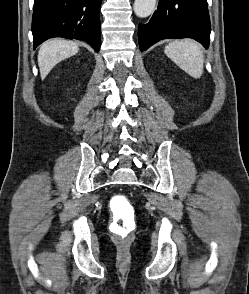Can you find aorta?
I'll use <instances>...</instances> for the list:
<instances>
[{
	"label": "aorta",
	"mask_w": 249,
	"mask_h": 294,
	"mask_svg": "<svg viewBox=\"0 0 249 294\" xmlns=\"http://www.w3.org/2000/svg\"><path fill=\"white\" fill-rule=\"evenodd\" d=\"M155 5L156 0H135L133 8L136 16L145 18L154 11Z\"/></svg>",
	"instance_id": "762f6f07"
}]
</instances>
